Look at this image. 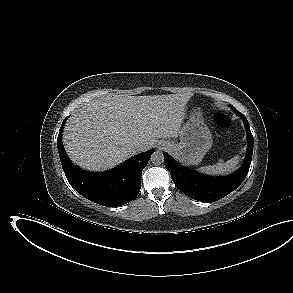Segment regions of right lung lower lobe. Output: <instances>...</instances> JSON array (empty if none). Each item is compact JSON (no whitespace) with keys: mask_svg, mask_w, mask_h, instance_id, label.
<instances>
[{"mask_svg":"<svg viewBox=\"0 0 293 293\" xmlns=\"http://www.w3.org/2000/svg\"><path fill=\"white\" fill-rule=\"evenodd\" d=\"M66 119L61 125L57 146L61 164L70 185L83 197L103 206L115 207L132 201L140 191L142 170L154 153V149L135 155L106 172L83 171L71 163L63 148L62 129Z\"/></svg>","mask_w":293,"mask_h":293,"instance_id":"right-lung-lower-lobe-1","label":"right lung lower lobe"}]
</instances>
